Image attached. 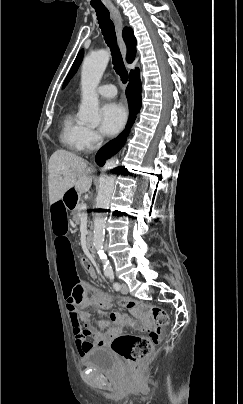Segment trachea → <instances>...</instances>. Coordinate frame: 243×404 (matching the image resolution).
I'll return each instance as SVG.
<instances>
[{
    "mask_svg": "<svg viewBox=\"0 0 243 404\" xmlns=\"http://www.w3.org/2000/svg\"><path fill=\"white\" fill-rule=\"evenodd\" d=\"M96 11L99 27L104 36V40L111 50L112 63L115 72L119 75L123 83L128 81V72L123 63L121 52L117 45L115 27L110 19V12L105 6L93 7Z\"/></svg>",
    "mask_w": 243,
    "mask_h": 404,
    "instance_id": "trachea-1",
    "label": "trachea"
}]
</instances>
